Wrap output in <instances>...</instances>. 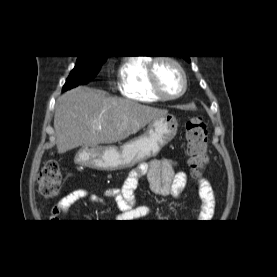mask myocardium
I'll use <instances>...</instances> for the list:
<instances>
[{
	"label": "myocardium",
	"instance_id": "myocardium-1",
	"mask_svg": "<svg viewBox=\"0 0 277 277\" xmlns=\"http://www.w3.org/2000/svg\"><path fill=\"white\" fill-rule=\"evenodd\" d=\"M160 61L168 62V63L172 64L178 70V72L182 78V88L179 91V93H177L175 95H167L161 89L159 82H158L157 73H156V67H157L158 62H160ZM148 73H149L150 87H151L152 91L162 100L177 99V98L181 97L187 91L188 79H187L185 69L182 66V64L175 57L159 56V57L154 58L149 64Z\"/></svg>",
	"mask_w": 277,
	"mask_h": 277
}]
</instances>
